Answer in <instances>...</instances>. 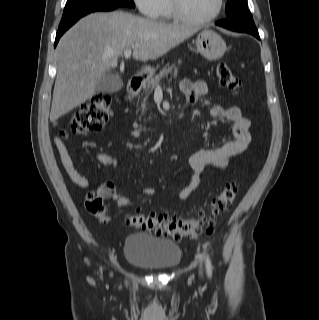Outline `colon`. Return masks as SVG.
Listing matches in <instances>:
<instances>
[{
    "label": "colon",
    "instance_id": "colon-1",
    "mask_svg": "<svg viewBox=\"0 0 319 320\" xmlns=\"http://www.w3.org/2000/svg\"><path fill=\"white\" fill-rule=\"evenodd\" d=\"M216 74L221 86L232 92H238L241 88L240 79L233 74L229 66L221 62L218 64ZM111 99L108 94H96L88 102L84 103L73 115L68 128L61 131L62 136L69 133L85 135L100 130L107 123L112 111ZM238 185L235 182L227 184L213 199L212 207L208 213L201 212L195 218L173 219L162 214L135 213L126 217V223L134 228L147 231L154 235H163L175 240L183 237L205 236L212 233L214 226L225 211L231 206ZM112 192V186L106 184L105 193ZM101 195H88L85 203L86 210L100 220L105 219V205ZM129 205V200L123 197L120 207Z\"/></svg>",
    "mask_w": 319,
    "mask_h": 320
}]
</instances>
